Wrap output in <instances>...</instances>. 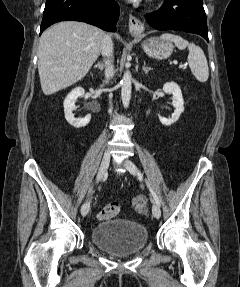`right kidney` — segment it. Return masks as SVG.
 I'll return each mask as SVG.
<instances>
[{"mask_svg": "<svg viewBox=\"0 0 240 287\" xmlns=\"http://www.w3.org/2000/svg\"><path fill=\"white\" fill-rule=\"evenodd\" d=\"M82 95H84V89L82 87H77L67 95L63 103L65 118L67 122L75 128L85 127L91 120L90 114L84 118L77 119L74 118V114L72 113L75 108L77 98L81 97Z\"/></svg>", "mask_w": 240, "mask_h": 287, "instance_id": "1", "label": "right kidney"}]
</instances>
